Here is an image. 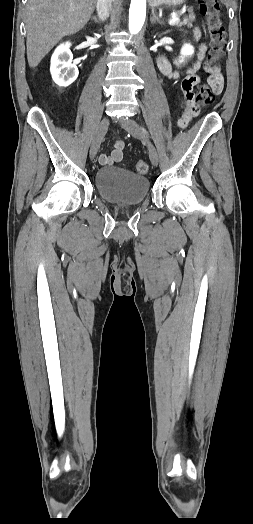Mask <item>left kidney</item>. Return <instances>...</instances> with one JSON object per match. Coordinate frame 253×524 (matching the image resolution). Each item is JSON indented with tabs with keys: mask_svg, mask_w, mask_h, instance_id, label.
<instances>
[{
	"mask_svg": "<svg viewBox=\"0 0 253 524\" xmlns=\"http://www.w3.org/2000/svg\"><path fill=\"white\" fill-rule=\"evenodd\" d=\"M194 54V48L191 44H184L180 51L179 62H183L185 58L191 57Z\"/></svg>",
	"mask_w": 253,
	"mask_h": 524,
	"instance_id": "1",
	"label": "left kidney"
}]
</instances>
